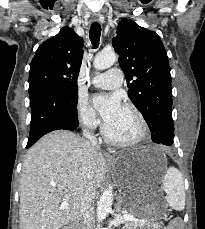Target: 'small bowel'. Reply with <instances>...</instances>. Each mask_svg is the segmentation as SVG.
I'll return each instance as SVG.
<instances>
[{"label": "small bowel", "instance_id": "c3829d8e", "mask_svg": "<svg viewBox=\"0 0 205 229\" xmlns=\"http://www.w3.org/2000/svg\"><path fill=\"white\" fill-rule=\"evenodd\" d=\"M164 229H181V223L179 221H173Z\"/></svg>", "mask_w": 205, "mask_h": 229}]
</instances>
